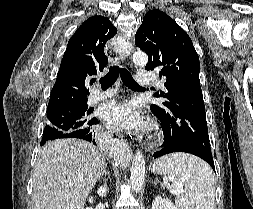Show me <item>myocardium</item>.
I'll use <instances>...</instances> for the list:
<instances>
[{
	"mask_svg": "<svg viewBox=\"0 0 253 209\" xmlns=\"http://www.w3.org/2000/svg\"><path fill=\"white\" fill-rule=\"evenodd\" d=\"M158 137H159V135H158V134H156V135L154 136V139H155V140H157V139H158Z\"/></svg>",
	"mask_w": 253,
	"mask_h": 209,
	"instance_id": "myocardium-1",
	"label": "myocardium"
}]
</instances>
